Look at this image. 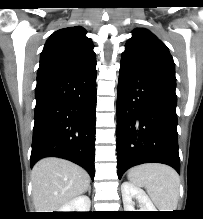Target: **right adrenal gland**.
Returning a JSON list of instances; mask_svg holds the SVG:
<instances>
[{
	"label": "right adrenal gland",
	"mask_w": 203,
	"mask_h": 219,
	"mask_svg": "<svg viewBox=\"0 0 203 219\" xmlns=\"http://www.w3.org/2000/svg\"><path fill=\"white\" fill-rule=\"evenodd\" d=\"M87 191H88V194L90 195L91 194V186L88 187Z\"/></svg>",
	"instance_id": "right-adrenal-gland-1"
}]
</instances>
